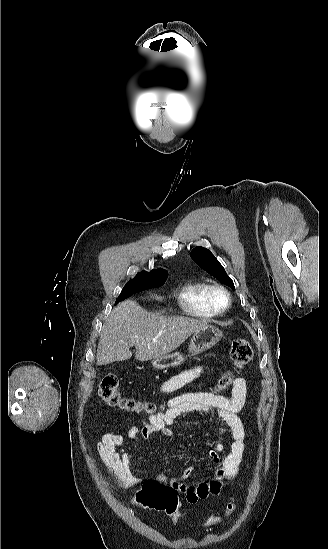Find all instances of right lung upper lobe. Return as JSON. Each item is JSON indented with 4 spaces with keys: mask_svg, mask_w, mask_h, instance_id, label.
<instances>
[{
    "mask_svg": "<svg viewBox=\"0 0 328 549\" xmlns=\"http://www.w3.org/2000/svg\"><path fill=\"white\" fill-rule=\"evenodd\" d=\"M145 272V271H143ZM151 272H158V273H167L166 271L162 270V269H159V270H152ZM140 274V273H138Z\"/></svg>",
    "mask_w": 328,
    "mask_h": 549,
    "instance_id": "cb5924a9",
    "label": "right lung upper lobe"
}]
</instances>
